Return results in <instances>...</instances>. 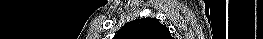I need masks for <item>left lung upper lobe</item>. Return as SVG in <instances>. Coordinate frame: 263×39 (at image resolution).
I'll return each instance as SVG.
<instances>
[{
  "label": "left lung upper lobe",
  "mask_w": 263,
  "mask_h": 39,
  "mask_svg": "<svg viewBox=\"0 0 263 39\" xmlns=\"http://www.w3.org/2000/svg\"><path fill=\"white\" fill-rule=\"evenodd\" d=\"M115 39H173L169 29L155 18L133 20L124 25Z\"/></svg>",
  "instance_id": "5c2ea615"
}]
</instances>
